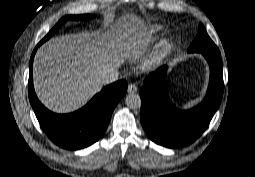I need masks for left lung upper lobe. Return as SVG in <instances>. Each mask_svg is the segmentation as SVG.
Segmentation results:
<instances>
[{
	"label": "left lung upper lobe",
	"mask_w": 255,
	"mask_h": 177,
	"mask_svg": "<svg viewBox=\"0 0 255 177\" xmlns=\"http://www.w3.org/2000/svg\"><path fill=\"white\" fill-rule=\"evenodd\" d=\"M218 48L208 36L202 24L199 25L198 34L190 45L188 52L217 51Z\"/></svg>",
	"instance_id": "left-lung-upper-lobe-1"
}]
</instances>
